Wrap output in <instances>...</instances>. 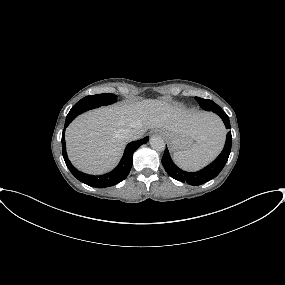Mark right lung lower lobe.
I'll return each instance as SVG.
<instances>
[{"instance_id":"obj_1","label":"right lung lower lobe","mask_w":285,"mask_h":285,"mask_svg":"<svg viewBox=\"0 0 285 285\" xmlns=\"http://www.w3.org/2000/svg\"><path fill=\"white\" fill-rule=\"evenodd\" d=\"M71 121L65 122L64 130L62 133V154L65 160V163L70 170V172L81 182L95 187V188H106L113 186L121 181H123L129 174L132 167V156L133 153L140 147L142 144H145L148 141V137H145L138 141H133L129 143L125 149L124 155L118 164V166L111 172L104 175H89L83 172L78 171L69 161L66 153L64 132L65 128L70 124Z\"/></svg>"}]
</instances>
